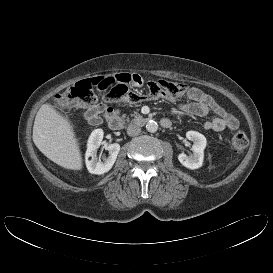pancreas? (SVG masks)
<instances>
[{
  "label": "pancreas",
  "mask_w": 273,
  "mask_h": 273,
  "mask_svg": "<svg viewBox=\"0 0 273 273\" xmlns=\"http://www.w3.org/2000/svg\"><path fill=\"white\" fill-rule=\"evenodd\" d=\"M133 116L136 117V118L140 117V115L138 113L133 114Z\"/></svg>",
  "instance_id": "cf45deb5"
}]
</instances>
